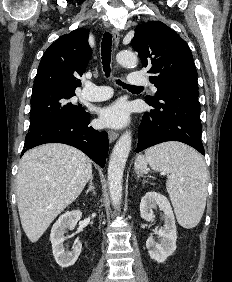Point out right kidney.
<instances>
[{
	"label": "right kidney",
	"mask_w": 232,
	"mask_h": 282,
	"mask_svg": "<svg viewBox=\"0 0 232 282\" xmlns=\"http://www.w3.org/2000/svg\"><path fill=\"white\" fill-rule=\"evenodd\" d=\"M81 216L82 212L79 210L67 211L59 217L52 227L50 241L52 243L53 255L56 262L62 268L72 266L81 253L82 244L80 242H76L73 245L72 251H65L64 247V233L67 229H74Z\"/></svg>",
	"instance_id": "obj_1"
}]
</instances>
